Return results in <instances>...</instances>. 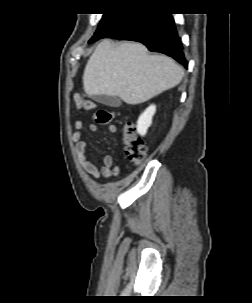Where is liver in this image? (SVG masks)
<instances>
[{
  "mask_svg": "<svg viewBox=\"0 0 252 303\" xmlns=\"http://www.w3.org/2000/svg\"><path fill=\"white\" fill-rule=\"evenodd\" d=\"M184 70L164 55H149L144 45L108 39L89 58L83 86L88 96H117L136 105L178 85Z\"/></svg>",
  "mask_w": 252,
  "mask_h": 303,
  "instance_id": "1",
  "label": "liver"
}]
</instances>
